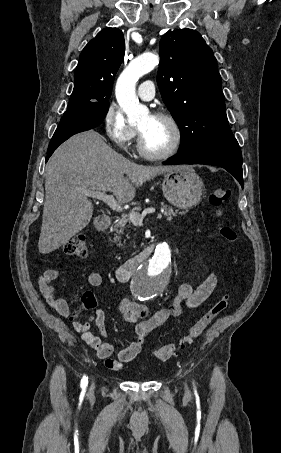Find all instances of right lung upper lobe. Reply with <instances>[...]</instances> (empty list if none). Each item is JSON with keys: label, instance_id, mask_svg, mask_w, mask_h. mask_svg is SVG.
<instances>
[{"label": "right lung upper lobe", "instance_id": "cb5924a9", "mask_svg": "<svg viewBox=\"0 0 281 453\" xmlns=\"http://www.w3.org/2000/svg\"><path fill=\"white\" fill-rule=\"evenodd\" d=\"M124 54L125 41L121 30L106 28L100 31L80 54L68 107L109 103Z\"/></svg>", "mask_w": 281, "mask_h": 453}]
</instances>
